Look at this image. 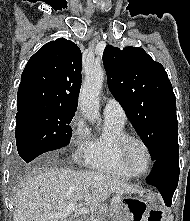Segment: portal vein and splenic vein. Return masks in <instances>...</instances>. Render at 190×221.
I'll return each instance as SVG.
<instances>
[{"label":"portal vein and splenic vein","mask_w":190,"mask_h":221,"mask_svg":"<svg viewBox=\"0 0 190 221\" xmlns=\"http://www.w3.org/2000/svg\"><path fill=\"white\" fill-rule=\"evenodd\" d=\"M88 212H89L88 208H86V207L77 208V204L73 203V204L68 205L63 210L62 213L54 214V215H52V217L64 219V218H66L68 215H70L72 213L81 215V214H87Z\"/></svg>","instance_id":"1"}]
</instances>
